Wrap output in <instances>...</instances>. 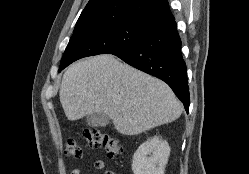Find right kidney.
<instances>
[{"label": "right kidney", "mask_w": 249, "mask_h": 174, "mask_svg": "<svg viewBox=\"0 0 249 174\" xmlns=\"http://www.w3.org/2000/svg\"><path fill=\"white\" fill-rule=\"evenodd\" d=\"M169 154L167 141L154 136L140 145L134 153L132 171L134 174H164Z\"/></svg>", "instance_id": "obj_1"}]
</instances>
